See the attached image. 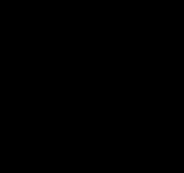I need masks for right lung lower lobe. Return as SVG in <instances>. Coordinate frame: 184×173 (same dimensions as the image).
I'll list each match as a JSON object with an SVG mask.
<instances>
[{
	"label": "right lung lower lobe",
	"instance_id": "98d812e1",
	"mask_svg": "<svg viewBox=\"0 0 184 173\" xmlns=\"http://www.w3.org/2000/svg\"><path fill=\"white\" fill-rule=\"evenodd\" d=\"M82 119L70 115L44 124L16 129L17 140L33 159L45 164H61L72 154Z\"/></svg>",
	"mask_w": 184,
	"mask_h": 173
}]
</instances>
